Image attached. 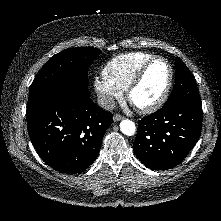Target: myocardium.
<instances>
[{"label":"myocardium","instance_id":"1","mask_svg":"<svg viewBox=\"0 0 221 221\" xmlns=\"http://www.w3.org/2000/svg\"><path fill=\"white\" fill-rule=\"evenodd\" d=\"M157 60H162L163 62H165V64L167 65V68H168V80H167L165 89H164L163 93L161 94V96L154 103L147 105V106H137L133 103L132 94H133L134 90L138 87V85L141 83V81H142L146 71L150 67V65ZM173 79H174L173 67H172L171 63L169 62V60L163 56H159V55L153 56L150 59H148L138 69V71L136 72V74L134 75L132 80L130 81V83L126 89L127 99L140 113H144V114L153 113L156 110H158L159 108H161L163 106V104L166 102V100L170 94V91L172 89Z\"/></svg>","mask_w":221,"mask_h":221}]
</instances>
